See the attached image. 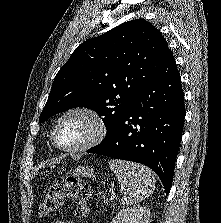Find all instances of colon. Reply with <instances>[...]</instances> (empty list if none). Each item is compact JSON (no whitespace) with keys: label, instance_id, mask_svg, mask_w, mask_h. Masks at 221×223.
<instances>
[{"label":"colon","instance_id":"colon-1","mask_svg":"<svg viewBox=\"0 0 221 223\" xmlns=\"http://www.w3.org/2000/svg\"><path fill=\"white\" fill-rule=\"evenodd\" d=\"M90 195V187L75 177L58 180L53 187L46 191L39 205V216L52 215L61 207L64 199L73 198L77 204L75 217L78 221H82L90 212L88 206Z\"/></svg>","mask_w":221,"mask_h":223}]
</instances>
